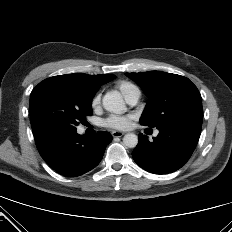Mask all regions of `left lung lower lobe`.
Segmentation results:
<instances>
[{"label": "left lung lower lobe", "instance_id": "obj_1", "mask_svg": "<svg viewBox=\"0 0 232 232\" xmlns=\"http://www.w3.org/2000/svg\"><path fill=\"white\" fill-rule=\"evenodd\" d=\"M202 118L173 120L157 129L153 141L139 134L138 145L132 152L134 161L154 174H167L180 169L191 157L200 137Z\"/></svg>", "mask_w": 232, "mask_h": 232}]
</instances>
